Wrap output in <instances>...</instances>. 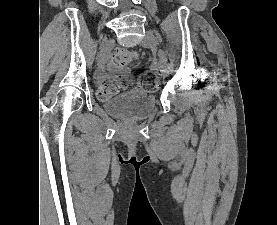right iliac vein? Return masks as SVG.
<instances>
[{
	"label": "right iliac vein",
	"mask_w": 277,
	"mask_h": 225,
	"mask_svg": "<svg viewBox=\"0 0 277 225\" xmlns=\"http://www.w3.org/2000/svg\"><path fill=\"white\" fill-rule=\"evenodd\" d=\"M114 46V40L110 39L108 40L101 48L98 57H97V64L98 66H103L104 63L107 60L108 54L110 53V51L112 50Z\"/></svg>",
	"instance_id": "63e3f726"
}]
</instances>
